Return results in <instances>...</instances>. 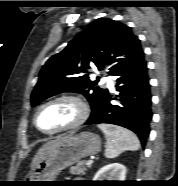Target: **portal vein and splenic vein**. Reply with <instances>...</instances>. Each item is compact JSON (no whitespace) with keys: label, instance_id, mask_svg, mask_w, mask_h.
I'll use <instances>...</instances> for the list:
<instances>
[{"label":"portal vein and splenic vein","instance_id":"18ae733b","mask_svg":"<svg viewBox=\"0 0 178 186\" xmlns=\"http://www.w3.org/2000/svg\"><path fill=\"white\" fill-rule=\"evenodd\" d=\"M93 164V160L92 159H89L87 162H86V165L87 166H91Z\"/></svg>","mask_w":178,"mask_h":186}]
</instances>
